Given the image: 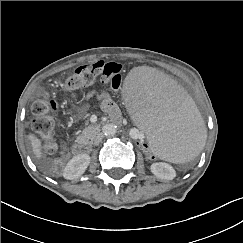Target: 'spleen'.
Instances as JSON below:
<instances>
[{"mask_svg": "<svg viewBox=\"0 0 243 243\" xmlns=\"http://www.w3.org/2000/svg\"><path fill=\"white\" fill-rule=\"evenodd\" d=\"M122 97L164 159L185 163L204 148L207 132L193 101L158 70H133L122 84Z\"/></svg>", "mask_w": 243, "mask_h": 243, "instance_id": "obj_1", "label": "spleen"}]
</instances>
